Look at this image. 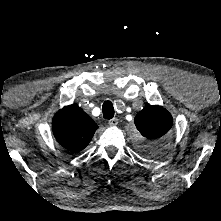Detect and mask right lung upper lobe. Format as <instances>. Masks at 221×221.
Masks as SVG:
<instances>
[{"mask_svg": "<svg viewBox=\"0 0 221 221\" xmlns=\"http://www.w3.org/2000/svg\"><path fill=\"white\" fill-rule=\"evenodd\" d=\"M97 128V124L77 104L59 110L52 122L56 140L73 153L89 144Z\"/></svg>", "mask_w": 221, "mask_h": 221, "instance_id": "obj_1", "label": "right lung upper lobe"}]
</instances>
